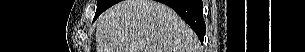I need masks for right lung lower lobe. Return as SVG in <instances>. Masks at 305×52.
I'll use <instances>...</instances> for the list:
<instances>
[{
  "mask_svg": "<svg viewBox=\"0 0 305 52\" xmlns=\"http://www.w3.org/2000/svg\"><path fill=\"white\" fill-rule=\"evenodd\" d=\"M174 9L176 13L184 19L190 27L195 31L201 43L205 35V22L203 19V3L202 0H158ZM119 0H110L107 5L99 11L97 17ZM94 18V20H96Z\"/></svg>",
  "mask_w": 305,
  "mask_h": 52,
  "instance_id": "obj_1",
  "label": "right lung lower lobe"
}]
</instances>
